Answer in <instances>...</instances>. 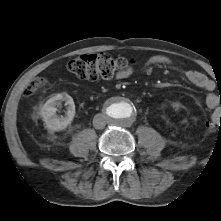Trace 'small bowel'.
<instances>
[{
  "label": "small bowel",
  "instance_id": "small-bowel-1",
  "mask_svg": "<svg viewBox=\"0 0 221 221\" xmlns=\"http://www.w3.org/2000/svg\"><path fill=\"white\" fill-rule=\"evenodd\" d=\"M168 62V59L163 56H154L152 57L148 64L150 65H159L165 64ZM132 73L130 68H127L120 72L117 75L118 79H125L129 77ZM185 78L195 85L198 88H201L208 92L205 97V105L210 109H215L219 104H221L220 97L214 92L215 90V83L213 80L205 76L203 73L196 71V70H188L184 72Z\"/></svg>",
  "mask_w": 221,
  "mask_h": 221
}]
</instances>
